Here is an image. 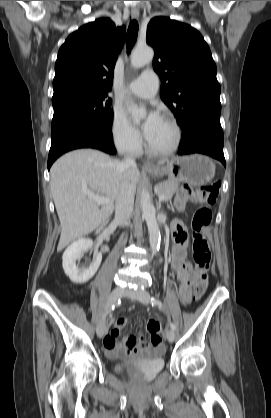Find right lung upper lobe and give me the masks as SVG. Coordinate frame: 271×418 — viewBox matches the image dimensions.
<instances>
[{
	"mask_svg": "<svg viewBox=\"0 0 271 418\" xmlns=\"http://www.w3.org/2000/svg\"><path fill=\"white\" fill-rule=\"evenodd\" d=\"M124 34L125 27L116 28L109 18L73 32L58 52L52 101L78 94H107Z\"/></svg>",
	"mask_w": 271,
	"mask_h": 418,
	"instance_id": "right-lung-upper-lobe-1",
	"label": "right lung upper lobe"
}]
</instances>
